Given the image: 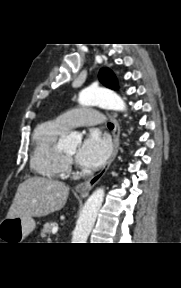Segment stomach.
<instances>
[{"label":"stomach","mask_w":181,"mask_h":288,"mask_svg":"<svg viewBox=\"0 0 181 288\" xmlns=\"http://www.w3.org/2000/svg\"><path fill=\"white\" fill-rule=\"evenodd\" d=\"M35 226L31 217L6 218L0 222V239L4 243H21Z\"/></svg>","instance_id":"1"}]
</instances>
